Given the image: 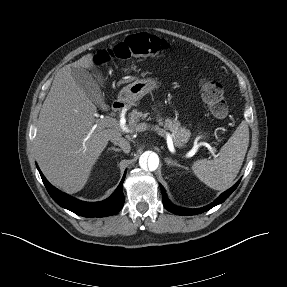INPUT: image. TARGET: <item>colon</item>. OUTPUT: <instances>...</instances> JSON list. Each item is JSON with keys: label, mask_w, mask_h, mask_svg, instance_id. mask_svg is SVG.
<instances>
[{"label": "colon", "mask_w": 287, "mask_h": 287, "mask_svg": "<svg viewBox=\"0 0 287 287\" xmlns=\"http://www.w3.org/2000/svg\"><path fill=\"white\" fill-rule=\"evenodd\" d=\"M168 43L155 35L136 33L128 36L113 47L100 50L95 60L99 64L113 59H129L132 57H148L162 54ZM202 97L212 114L222 118L227 114V105L222 85L212 78H204L201 84Z\"/></svg>", "instance_id": "colon-1"}]
</instances>
